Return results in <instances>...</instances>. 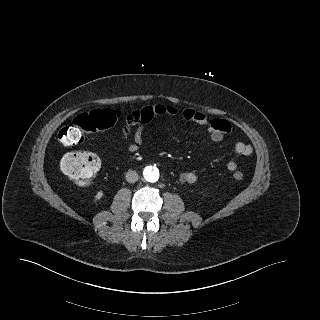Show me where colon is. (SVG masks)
Instances as JSON below:
<instances>
[{
	"instance_id": "5ec220e1",
	"label": "colon",
	"mask_w": 320,
	"mask_h": 320,
	"mask_svg": "<svg viewBox=\"0 0 320 320\" xmlns=\"http://www.w3.org/2000/svg\"><path fill=\"white\" fill-rule=\"evenodd\" d=\"M120 113L114 109L97 108L87 113L80 114L70 124L62 127L58 133L60 142L67 145L77 144L82 141L83 134L107 129L119 119ZM147 118L138 119V123L146 122ZM100 167L98 157L85 151L67 154L61 162L62 171L78 186L86 187L95 178ZM233 178L240 181L241 172H235Z\"/></svg>"
}]
</instances>
